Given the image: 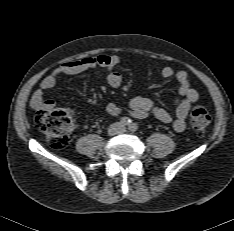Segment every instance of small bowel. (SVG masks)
<instances>
[{
  "label": "small bowel",
  "instance_id": "c3829d8e",
  "mask_svg": "<svg viewBox=\"0 0 234 231\" xmlns=\"http://www.w3.org/2000/svg\"><path fill=\"white\" fill-rule=\"evenodd\" d=\"M119 62V57L112 54H103L66 62L54 69L41 81L31 97V106L35 110L53 109L55 102L45 98V92L52 89L60 77L80 74L95 68L103 69L106 74L107 83L111 87H119L123 81L122 74L116 70ZM160 75L164 79H170L175 75L179 92V97L175 100V118L173 119L164 108L156 106L149 98L141 96L131 99L127 112L136 119H146L148 116L153 115L162 123H171L176 132H182L186 127L189 111L192 105L198 101L199 94L191 87L188 74L185 71H179L175 74L171 67L165 66L160 69ZM105 110L108 114L114 116L124 111L121 106L114 103L107 104Z\"/></svg>",
  "mask_w": 234,
  "mask_h": 231
}]
</instances>
